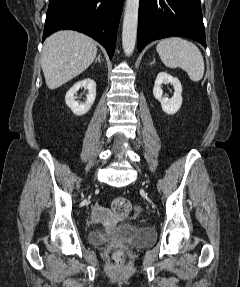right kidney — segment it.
<instances>
[{"label": "right kidney", "mask_w": 240, "mask_h": 287, "mask_svg": "<svg viewBox=\"0 0 240 287\" xmlns=\"http://www.w3.org/2000/svg\"><path fill=\"white\" fill-rule=\"evenodd\" d=\"M80 88L88 90L86 95L87 99L84 103L76 101L75 94ZM96 98V83L94 80L87 78L75 83L66 93L65 102L66 105L72 110L75 115L86 114L93 105Z\"/></svg>", "instance_id": "1"}]
</instances>
